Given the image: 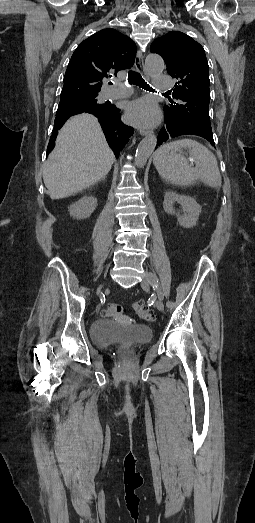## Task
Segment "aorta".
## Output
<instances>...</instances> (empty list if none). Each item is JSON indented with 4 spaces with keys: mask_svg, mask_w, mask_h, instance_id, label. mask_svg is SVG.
I'll return each mask as SVG.
<instances>
[{
    "mask_svg": "<svg viewBox=\"0 0 255 523\" xmlns=\"http://www.w3.org/2000/svg\"><path fill=\"white\" fill-rule=\"evenodd\" d=\"M165 68L163 59L157 54H149L145 60L146 73L153 77L161 74ZM157 143V136L149 134L138 145L135 154V165L142 168L150 155L153 153Z\"/></svg>",
    "mask_w": 255,
    "mask_h": 523,
    "instance_id": "aorta-1",
    "label": "aorta"
}]
</instances>
